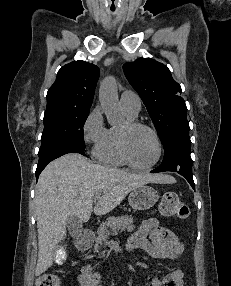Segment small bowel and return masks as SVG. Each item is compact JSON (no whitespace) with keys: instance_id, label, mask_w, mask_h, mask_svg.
Instances as JSON below:
<instances>
[{"instance_id":"obj_1","label":"small bowel","mask_w":231,"mask_h":286,"mask_svg":"<svg viewBox=\"0 0 231 286\" xmlns=\"http://www.w3.org/2000/svg\"><path fill=\"white\" fill-rule=\"evenodd\" d=\"M138 249L157 260H175L183 253L184 246L172 230L162 226L157 218H151L141 223L126 244L128 252ZM100 281V274L91 266L83 267L78 277L80 286H100ZM151 285L183 286V272L180 268L173 269L162 278L154 277Z\"/></svg>"}]
</instances>
